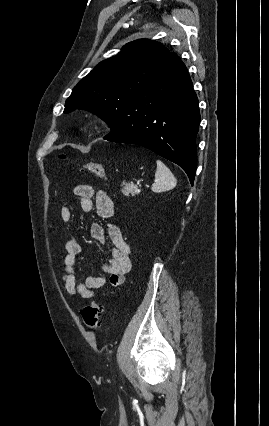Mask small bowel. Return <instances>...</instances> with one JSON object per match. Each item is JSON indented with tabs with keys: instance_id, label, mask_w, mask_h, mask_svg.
<instances>
[{
	"instance_id": "small-bowel-1",
	"label": "small bowel",
	"mask_w": 269,
	"mask_h": 426,
	"mask_svg": "<svg viewBox=\"0 0 269 426\" xmlns=\"http://www.w3.org/2000/svg\"><path fill=\"white\" fill-rule=\"evenodd\" d=\"M74 194L79 199V206L83 212H90L95 207L96 213L104 219H112L114 215L113 201L110 196L102 191L95 190L88 184H78L74 188ZM61 219L65 223L73 220V212L70 207L61 209ZM108 235L112 243V259L106 263L102 270L109 276V283L113 287L119 286L124 276L131 269L130 248L124 239L121 228L111 224ZM90 236L97 242H105V231L99 223H93L90 228ZM64 268L62 281L65 291L70 296L79 295L83 299H92L98 289L104 287L107 279L104 276L89 275L82 280L77 278L76 257L81 253L82 246L77 239H68L64 243Z\"/></svg>"
}]
</instances>
